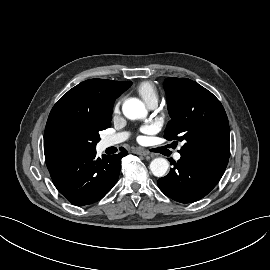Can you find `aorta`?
Here are the masks:
<instances>
[{
  "mask_svg": "<svg viewBox=\"0 0 270 270\" xmlns=\"http://www.w3.org/2000/svg\"><path fill=\"white\" fill-rule=\"evenodd\" d=\"M125 117L131 120L146 117L147 110L142 101L136 98L127 99L122 106ZM169 168V163L165 158H155L150 163V170L156 177H163Z\"/></svg>",
  "mask_w": 270,
  "mask_h": 270,
  "instance_id": "762f6f07",
  "label": "aorta"
}]
</instances>
